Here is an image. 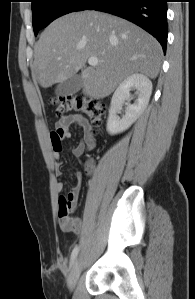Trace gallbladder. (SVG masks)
Returning <instances> with one entry per match:
<instances>
[{"label": "gallbladder", "instance_id": "gallbladder-1", "mask_svg": "<svg viewBox=\"0 0 195 299\" xmlns=\"http://www.w3.org/2000/svg\"><path fill=\"white\" fill-rule=\"evenodd\" d=\"M82 88V78L81 75L75 74L69 79L60 82L56 89L55 93L60 96L73 95Z\"/></svg>", "mask_w": 195, "mask_h": 299}]
</instances>
